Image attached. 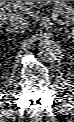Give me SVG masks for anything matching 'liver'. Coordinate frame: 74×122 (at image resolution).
I'll return each instance as SVG.
<instances>
[{
	"label": "liver",
	"instance_id": "1",
	"mask_svg": "<svg viewBox=\"0 0 74 122\" xmlns=\"http://www.w3.org/2000/svg\"><path fill=\"white\" fill-rule=\"evenodd\" d=\"M16 13V11H10L9 13H5L3 11H1V23L5 22L6 20H8V18L12 15Z\"/></svg>",
	"mask_w": 74,
	"mask_h": 122
}]
</instances>
